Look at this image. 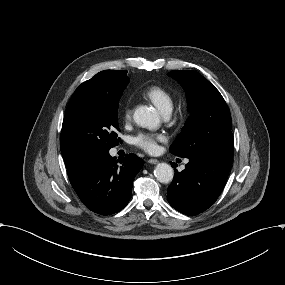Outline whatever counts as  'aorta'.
Returning <instances> with one entry per match:
<instances>
[{"mask_svg":"<svg viewBox=\"0 0 285 285\" xmlns=\"http://www.w3.org/2000/svg\"><path fill=\"white\" fill-rule=\"evenodd\" d=\"M133 119L139 126L149 129L157 128L160 124L157 111L149 106L138 107L134 112ZM154 175L159 182L167 184L173 180V168L167 163H159L155 167Z\"/></svg>","mask_w":285,"mask_h":285,"instance_id":"762f6f07","label":"aorta"}]
</instances>
